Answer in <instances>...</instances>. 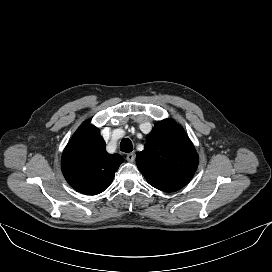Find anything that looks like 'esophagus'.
<instances>
[{
    "label": "esophagus",
    "instance_id": "34e87169",
    "mask_svg": "<svg viewBox=\"0 0 272 272\" xmlns=\"http://www.w3.org/2000/svg\"><path fill=\"white\" fill-rule=\"evenodd\" d=\"M126 159H127L128 162H134L135 153L134 152L128 153L127 156H126Z\"/></svg>",
    "mask_w": 272,
    "mask_h": 272
}]
</instances>
